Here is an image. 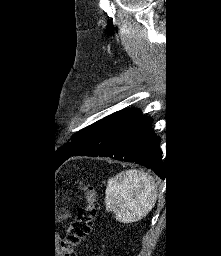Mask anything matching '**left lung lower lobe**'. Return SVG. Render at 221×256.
<instances>
[{"label": "left lung lower lobe", "mask_w": 221, "mask_h": 256, "mask_svg": "<svg viewBox=\"0 0 221 256\" xmlns=\"http://www.w3.org/2000/svg\"><path fill=\"white\" fill-rule=\"evenodd\" d=\"M152 119L133 109L113 120L86 139L72 156L110 157L136 162L154 170L161 178L160 138L151 132Z\"/></svg>", "instance_id": "1"}]
</instances>
